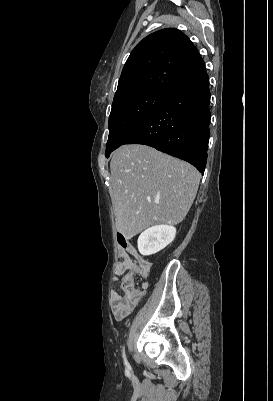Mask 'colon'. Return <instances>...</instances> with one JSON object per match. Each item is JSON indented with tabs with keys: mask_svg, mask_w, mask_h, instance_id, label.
Segmentation results:
<instances>
[{
	"mask_svg": "<svg viewBox=\"0 0 273 401\" xmlns=\"http://www.w3.org/2000/svg\"><path fill=\"white\" fill-rule=\"evenodd\" d=\"M119 255L124 257L126 252L121 250ZM151 268L152 263L151 261H148V259H143V261H140L138 267L135 261H122L120 263L119 275L123 276L124 280L123 284H118L117 288H114V297H125L126 293H129V295L132 297H142L144 286L142 284H137L136 278H133L132 274L130 273L131 270L136 269L137 276H148Z\"/></svg>",
	"mask_w": 273,
	"mask_h": 401,
	"instance_id": "colon-1",
	"label": "colon"
}]
</instances>
